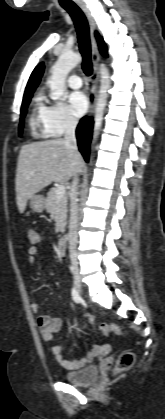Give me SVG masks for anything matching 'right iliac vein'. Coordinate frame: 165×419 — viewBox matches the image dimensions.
<instances>
[{
  "mask_svg": "<svg viewBox=\"0 0 165 419\" xmlns=\"http://www.w3.org/2000/svg\"><path fill=\"white\" fill-rule=\"evenodd\" d=\"M76 285H77L79 291L81 292L82 290H81V285H80L79 281L76 282Z\"/></svg>",
  "mask_w": 165,
  "mask_h": 419,
  "instance_id": "right-iliac-vein-1",
  "label": "right iliac vein"
}]
</instances>
